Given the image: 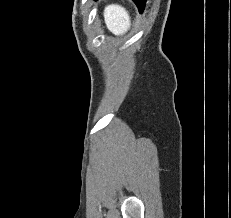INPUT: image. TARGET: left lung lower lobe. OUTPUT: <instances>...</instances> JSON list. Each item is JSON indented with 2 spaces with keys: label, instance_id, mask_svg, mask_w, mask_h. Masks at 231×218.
Masks as SVG:
<instances>
[{
  "label": "left lung lower lobe",
  "instance_id": "0a47b994",
  "mask_svg": "<svg viewBox=\"0 0 231 218\" xmlns=\"http://www.w3.org/2000/svg\"><path fill=\"white\" fill-rule=\"evenodd\" d=\"M140 12L144 10L146 0H133Z\"/></svg>",
  "mask_w": 231,
  "mask_h": 218
}]
</instances>
